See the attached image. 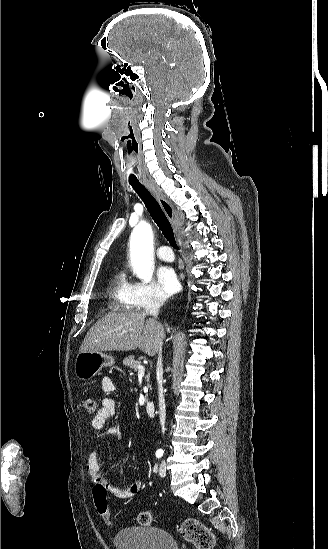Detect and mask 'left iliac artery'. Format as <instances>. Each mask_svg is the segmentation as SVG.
<instances>
[{
  "label": "left iliac artery",
  "mask_w": 328,
  "mask_h": 549,
  "mask_svg": "<svg viewBox=\"0 0 328 549\" xmlns=\"http://www.w3.org/2000/svg\"><path fill=\"white\" fill-rule=\"evenodd\" d=\"M156 468H157V467L155 466L154 471H156Z\"/></svg>",
  "instance_id": "44dca946"
}]
</instances>
